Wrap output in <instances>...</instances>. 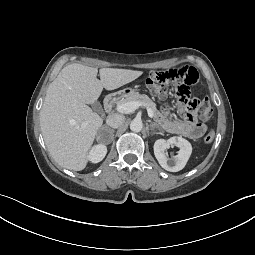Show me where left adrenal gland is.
<instances>
[{
	"label": "left adrenal gland",
	"mask_w": 255,
	"mask_h": 255,
	"mask_svg": "<svg viewBox=\"0 0 255 255\" xmlns=\"http://www.w3.org/2000/svg\"><path fill=\"white\" fill-rule=\"evenodd\" d=\"M150 127H151V130H152V134H157V132L154 130L155 129V127H157V124H155V123H151L150 124Z\"/></svg>",
	"instance_id": "left-adrenal-gland-1"
}]
</instances>
